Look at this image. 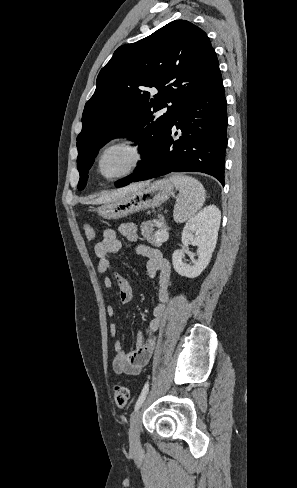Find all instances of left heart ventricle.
Wrapping results in <instances>:
<instances>
[{"mask_svg":"<svg viewBox=\"0 0 297 488\" xmlns=\"http://www.w3.org/2000/svg\"><path fill=\"white\" fill-rule=\"evenodd\" d=\"M136 152L129 146H118L109 150L102 160L103 173L114 176L126 170L135 160Z\"/></svg>","mask_w":297,"mask_h":488,"instance_id":"b2bd125f","label":"left heart ventricle"}]
</instances>
